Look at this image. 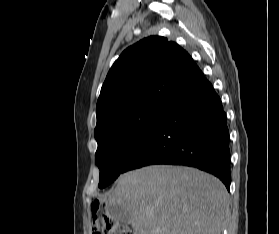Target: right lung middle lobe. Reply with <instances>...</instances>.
Wrapping results in <instances>:
<instances>
[{"label":"right lung middle lobe","mask_w":279,"mask_h":234,"mask_svg":"<svg viewBox=\"0 0 279 234\" xmlns=\"http://www.w3.org/2000/svg\"><path fill=\"white\" fill-rule=\"evenodd\" d=\"M166 107L147 106L118 115L95 133V161L100 169L99 188L112 183L155 127Z\"/></svg>","instance_id":"obj_1"}]
</instances>
